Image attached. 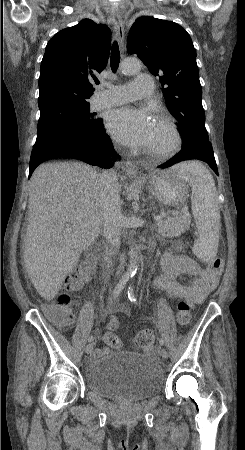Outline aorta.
<instances>
[{
    "label": "aorta",
    "mask_w": 245,
    "mask_h": 450,
    "mask_svg": "<svg viewBox=\"0 0 245 450\" xmlns=\"http://www.w3.org/2000/svg\"><path fill=\"white\" fill-rule=\"evenodd\" d=\"M141 62L135 58L124 59L121 63V71L125 75L137 73L141 69ZM130 263L128 268V274L133 276L137 271L138 257L134 244L130 243Z\"/></svg>",
    "instance_id": "aorta-1"
}]
</instances>
